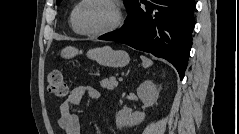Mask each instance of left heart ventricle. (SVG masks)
Listing matches in <instances>:
<instances>
[{"label": "left heart ventricle", "mask_w": 239, "mask_h": 134, "mask_svg": "<svg viewBox=\"0 0 239 134\" xmlns=\"http://www.w3.org/2000/svg\"><path fill=\"white\" fill-rule=\"evenodd\" d=\"M115 19L112 7L101 0L86 2L79 14V24L86 31H100L109 27Z\"/></svg>", "instance_id": "b2bd125f"}]
</instances>
